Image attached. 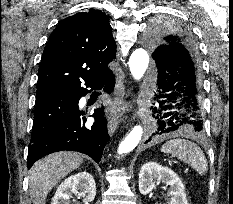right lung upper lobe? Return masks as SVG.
<instances>
[{"instance_id": "1", "label": "right lung upper lobe", "mask_w": 233, "mask_h": 204, "mask_svg": "<svg viewBox=\"0 0 233 204\" xmlns=\"http://www.w3.org/2000/svg\"><path fill=\"white\" fill-rule=\"evenodd\" d=\"M116 56V44L106 15L95 9L61 21L44 48L36 102L67 95L79 96L112 71L107 65Z\"/></svg>"}]
</instances>
